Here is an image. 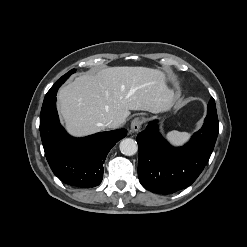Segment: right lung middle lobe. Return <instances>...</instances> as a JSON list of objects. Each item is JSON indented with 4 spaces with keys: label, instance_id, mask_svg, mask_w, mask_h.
Segmentation results:
<instances>
[{
    "label": "right lung middle lobe",
    "instance_id": "dd1d6c3e",
    "mask_svg": "<svg viewBox=\"0 0 247 247\" xmlns=\"http://www.w3.org/2000/svg\"><path fill=\"white\" fill-rule=\"evenodd\" d=\"M75 72V69L70 70L68 73H66L65 75H63L52 87L51 89L47 92L45 98H44V102L48 101L49 99H51L52 97H54L57 93L58 88L66 81V79Z\"/></svg>",
    "mask_w": 247,
    "mask_h": 247
}]
</instances>
